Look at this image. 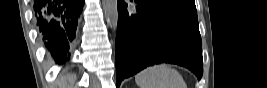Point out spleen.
Returning a JSON list of instances; mask_svg holds the SVG:
<instances>
[{"mask_svg": "<svg viewBox=\"0 0 267 88\" xmlns=\"http://www.w3.org/2000/svg\"><path fill=\"white\" fill-rule=\"evenodd\" d=\"M139 88H187L180 73L166 64L148 67L135 76Z\"/></svg>", "mask_w": 267, "mask_h": 88, "instance_id": "obj_1", "label": "spleen"}]
</instances>
